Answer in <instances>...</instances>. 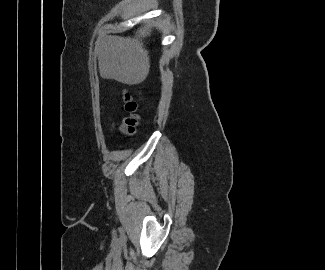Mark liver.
<instances>
[{
  "label": "liver",
  "mask_w": 325,
  "mask_h": 270,
  "mask_svg": "<svg viewBox=\"0 0 325 270\" xmlns=\"http://www.w3.org/2000/svg\"><path fill=\"white\" fill-rule=\"evenodd\" d=\"M151 29L142 27L131 37H99L95 45L98 67L103 79H113L127 85L142 83L149 74L150 58L142 40Z\"/></svg>",
  "instance_id": "1"
}]
</instances>
